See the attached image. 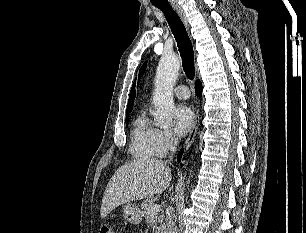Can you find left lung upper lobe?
<instances>
[{
    "instance_id": "1",
    "label": "left lung upper lobe",
    "mask_w": 306,
    "mask_h": 233,
    "mask_svg": "<svg viewBox=\"0 0 306 233\" xmlns=\"http://www.w3.org/2000/svg\"><path fill=\"white\" fill-rule=\"evenodd\" d=\"M145 66L146 64H144L141 69H140V72H139V77L142 75V73L144 72V69H145Z\"/></svg>"
}]
</instances>
